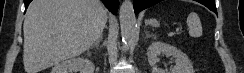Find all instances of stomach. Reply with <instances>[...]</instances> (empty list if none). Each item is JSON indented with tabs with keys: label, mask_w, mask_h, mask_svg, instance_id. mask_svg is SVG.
<instances>
[{
	"label": "stomach",
	"mask_w": 244,
	"mask_h": 73,
	"mask_svg": "<svg viewBox=\"0 0 244 73\" xmlns=\"http://www.w3.org/2000/svg\"><path fill=\"white\" fill-rule=\"evenodd\" d=\"M146 23L150 26H153V27H158L159 26V23L156 19H148L146 21Z\"/></svg>",
	"instance_id": "0dacf381"
}]
</instances>
